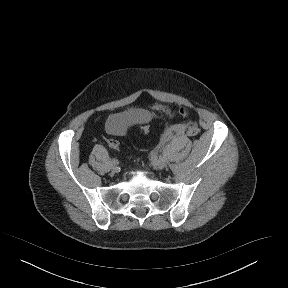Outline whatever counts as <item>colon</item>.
<instances>
[{"label": "colon", "instance_id": "colon-1", "mask_svg": "<svg viewBox=\"0 0 288 288\" xmlns=\"http://www.w3.org/2000/svg\"><path fill=\"white\" fill-rule=\"evenodd\" d=\"M181 114L185 115V114H186V111L183 110V111L181 112ZM142 131H143L144 133H147V132L149 131V128H148L147 126H144V127H142ZM107 144H108V146H109L110 148H113V149H119V148H120L119 142H118L117 140H114V139H108V140H107Z\"/></svg>", "mask_w": 288, "mask_h": 288}]
</instances>
